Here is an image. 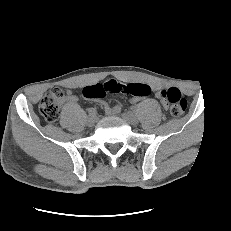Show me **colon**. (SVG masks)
I'll list each match as a JSON object with an SVG mask.
<instances>
[{
  "instance_id": "1",
  "label": "colon",
  "mask_w": 231,
  "mask_h": 231,
  "mask_svg": "<svg viewBox=\"0 0 231 231\" xmlns=\"http://www.w3.org/2000/svg\"><path fill=\"white\" fill-rule=\"evenodd\" d=\"M151 89L148 85L142 83H120L115 80L96 83L86 86L83 89V95L89 99L103 98L110 94H129L136 97H146ZM65 96L61 87L54 86L50 88L39 104L40 114L46 121L53 123L57 120L60 112V105ZM162 100L169 112L173 116H180L187 108V100L181 91L176 87H170L162 91Z\"/></svg>"
}]
</instances>
